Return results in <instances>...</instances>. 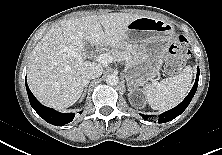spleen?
<instances>
[{
    "mask_svg": "<svg viewBox=\"0 0 222 155\" xmlns=\"http://www.w3.org/2000/svg\"><path fill=\"white\" fill-rule=\"evenodd\" d=\"M192 72V67L188 65L176 76L144 86V94L151 108L168 110L177 106L189 92Z\"/></svg>",
    "mask_w": 222,
    "mask_h": 155,
    "instance_id": "obj_1",
    "label": "spleen"
}]
</instances>
